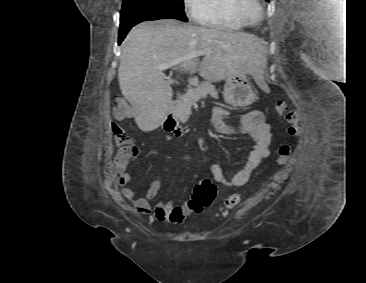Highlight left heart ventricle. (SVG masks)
I'll return each mask as SVG.
<instances>
[{"label":"left heart ventricle","instance_id":"obj_1","mask_svg":"<svg viewBox=\"0 0 366 283\" xmlns=\"http://www.w3.org/2000/svg\"><path fill=\"white\" fill-rule=\"evenodd\" d=\"M253 13H254V12H252V13H251V15H252V16L254 15Z\"/></svg>","mask_w":366,"mask_h":283}]
</instances>
